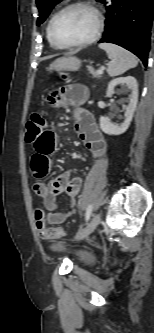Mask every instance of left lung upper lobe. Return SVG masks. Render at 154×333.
I'll list each match as a JSON object with an SVG mask.
<instances>
[{
  "label": "left lung upper lobe",
  "mask_w": 154,
  "mask_h": 333,
  "mask_svg": "<svg viewBox=\"0 0 154 333\" xmlns=\"http://www.w3.org/2000/svg\"><path fill=\"white\" fill-rule=\"evenodd\" d=\"M62 0H36L37 7L39 9V17L37 25H40L47 18L52 8ZM102 1V0H98Z\"/></svg>",
  "instance_id": "5c2ea615"
}]
</instances>
